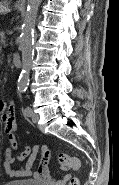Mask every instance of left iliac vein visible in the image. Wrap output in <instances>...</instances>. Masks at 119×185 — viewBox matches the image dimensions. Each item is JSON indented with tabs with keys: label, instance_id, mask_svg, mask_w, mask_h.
I'll return each mask as SVG.
<instances>
[{
	"label": "left iliac vein",
	"instance_id": "1",
	"mask_svg": "<svg viewBox=\"0 0 119 185\" xmlns=\"http://www.w3.org/2000/svg\"><path fill=\"white\" fill-rule=\"evenodd\" d=\"M31 119H32V121L34 123H37L38 120H39V115L37 113H35V112L32 111V113H31Z\"/></svg>",
	"mask_w": 119,
	"mask_h": 185
}]
</instances>
